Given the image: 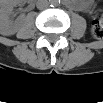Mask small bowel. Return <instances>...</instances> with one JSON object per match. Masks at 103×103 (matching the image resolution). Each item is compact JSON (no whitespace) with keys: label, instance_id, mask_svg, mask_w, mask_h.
Returning <instances> with one entry per match:
<instances>
[{"label":"small bowel","instance_id":"small-bowel-1","mask_svg":"<svg viewBox=\"0 0 103 103\" xmlns=\"http://www.w3.org/2000/svg\"><path fill=\"white\" fill-rule=\"evenodd\" d=\"M90 6H91L90 3H84V4L81 5V8H82V9H87V8H89Z\"/></svg>","mask_w":103,"mask_h":103}]
</instances>
